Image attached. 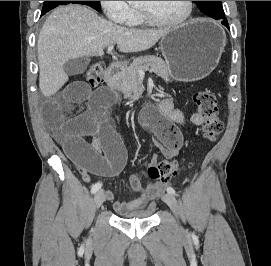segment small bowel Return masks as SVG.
Returning a JSON list of instances; mask_svg holds the SVG:
<instances>
[{
    "instance_id": "obj_1",
    "label": "small bowel",
    "mask_w": 271,
    "mask_h": 266,
    "mask_svg": "<svg viewBox=\"0 0 271 266\" xmlns=\"http://www.w3.org/2000/svg\"><path fill=\"white\" fill-rule=\"evenodd\" d=\"M84 64L82 60L70 62L66 67L67 74H80ZM85 100L89 102L87 113L73 119L65 118L67 109ZM113 103L114 97L106 89L91 92L84 82L75 81L64 85L43 105L46 123L67 155L77 165L84 181H90L91 175L118 176L126 164V149L109 120V111ZM158 112V116L143 117V124L150 127L161 142L163 154L167 158H173L183 144V136L177 125L184 123L185 117L169 97L160 101ZM203 121L199 113L192 114L189 119L190 124L194 126L203 125ZM86 137L92 139L91 144L85 141ZM128 183L138 194L133 200L114 201V193L111 190L104 193L106 200L114 201L113 208L121 215L146 207L166 186V183L157 182L144 187L135 175L128 177Z\"/></svg>"
}]
</instances>
